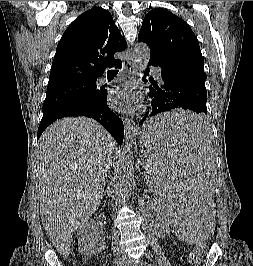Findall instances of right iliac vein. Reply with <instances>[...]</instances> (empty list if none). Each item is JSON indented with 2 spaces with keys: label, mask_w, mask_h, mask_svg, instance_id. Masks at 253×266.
<instances>
[{
  "label": "right iliac vein",
  "mask_w": 253,
  "mask_h": 266,
  "mask_svg": "<svg viewBox=\"0 0 253 266\" xmlns=\"http://www.w3.org/2000/svg\"><path fill=\"white\" fill-rule=\"evenodd\" d=\"M125 263V257L123 256H116L114 260V265L115 266H122Z\"/></svg>",
  "instance_id": "1"
}]
</instances>
